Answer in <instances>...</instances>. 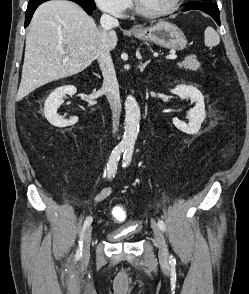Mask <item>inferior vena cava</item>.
Masks as SVG:
<instances>
[{
	"instance_id": "1",
	"label": "inferior vena cava",
	"mask_w": 249,
	"mask_h": 294,
	"mask_svg": "<svg viewBox=\"0 0 249 294\" xmlns=\"http://www.w3.org/2000/svg\"><path fill=\"white\" fill-rule=\"evenodd\" d=\"M103 28L101 43L96 53L100 69L103 75L102 90L106 94L112 111V131L115 135L118 132L119 118L121 115V102L119 94V85L116 78L114 65L110 55L109 44L107 41L108 34L111 33L114 27L119 25L116 18L104 13L100 19Z\"/></svg>"
}]
</instances>
